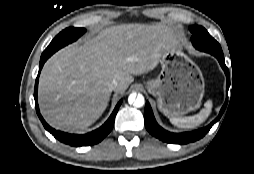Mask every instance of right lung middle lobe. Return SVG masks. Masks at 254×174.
I'll return each mask as SVG.
<instances>
[{
  "mask_svg": "<svg viewBox=\"0 0 254 174\" xmlns=\"http://www.w3.org/2000/svg\"><path fill=\"white\" fill-rule=\"evenodd\" d=\"M86 32L84 28L69 27L60 32L49 44V46L42 53V56H51L60 48L77 40L82 34Z\"/></svg>",
  "mask_w": 254,
  "mask_h": 174,
  "instance_id": "right-lung-middle-lobe-1",
  "label": "right lung middle lobe"
}]
</instances>
